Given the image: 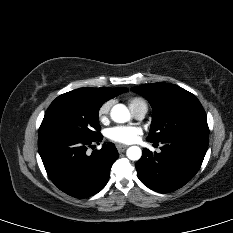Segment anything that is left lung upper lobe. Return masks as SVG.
Masks as SVG:
<instances>
[{
    "instance_id": "obj_1",
    "label": "left lung upper lobe",
    "mask_w": 233,
    "mask_h": 233,
    "mask_svg": "<svg viewBox=\"0 0 233 233\" xmlns=\"http://www.w3.org/2000/svg\"><path fill=\"white\" fill-rule=\"evenodd\" d=\"M132 90L153 108L147 140L163 142L179 136H209L206 113L195 95L168 83L143 84Z\"/></svg>"
}]
</instances>
